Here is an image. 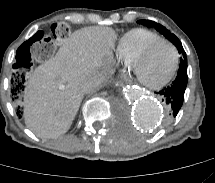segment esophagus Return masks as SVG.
<instances>
[{"label": "esophagus", "mask_w": 215, "mask_h": 183, "mask_svg": "<svg viewBox=\"0 0 215 183\" xmlns=\"http://www.w3.org/2000/svg\"><path fill=\"white\" fill-rule=\"evenodd\" d=\"M124 80H126V81L129 80V77H125Z\"/></svg>", "instance_id": "obj_1"}]
</instances>
